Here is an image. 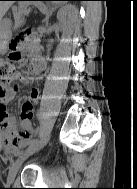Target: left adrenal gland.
<instances>
[{
  "label": "left adrenal gland",
  "mask_w": 137,
  "mask_h": 189,
  "mask_svg": "<svg viewBox=\"0 0 137 189\" xmlns=\"http://www.w3.org/2000/svg\"><path fill=\"white\" fill-rule=\"evenodd\" d=\"M54 10H55V8H50L49 13L46 15V18L44 20L46 24H48V20L51 17Z\"/></svg>",
  "instance_id": "a2214340"
}]
</instances>
